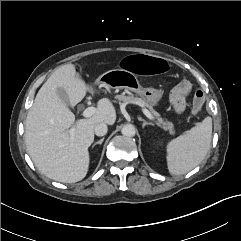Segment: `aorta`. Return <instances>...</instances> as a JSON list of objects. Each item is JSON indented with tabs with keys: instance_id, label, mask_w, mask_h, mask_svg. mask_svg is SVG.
<instances>
[{
	"instance_id": "1",
	"label": "aorta",
	"mask_w": 241,
	"mask_h": 241,
	"mask_svg": "<svg viewBox=\"0 0 241 241\" xmlns=\"http://www.w3.org/2000/svg\"><path fill=\"white\" fill-rule=\"evenodd\" d=\"M121 133H122V135H124L126 137H133V136H135L136 129H135L134 125L127 124L122 127Z\"/></svg>"
}]
</instances>
